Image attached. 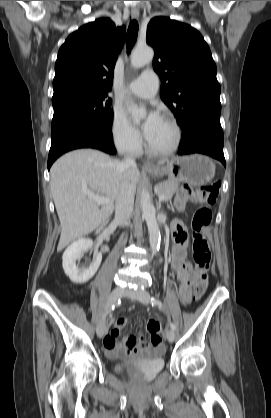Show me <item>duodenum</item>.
Returning <instances> with one entry per match:
<instances>
[{"label":"duodenum","instance_id":"410a0bca","mask_svg":"<svg viewBox=\"0 0 271 418\" xmlns=\"http://www.w3.org/2000/svg\"><path fill=\"white\" fill-rule=\"evenodd\" d=\"M114 227L112 225H109L106 230L105 233L107 234V236H110L113 233Z\"/></svg>","mask_w":271,"mask_h":418}]
</instances>
